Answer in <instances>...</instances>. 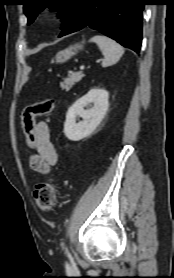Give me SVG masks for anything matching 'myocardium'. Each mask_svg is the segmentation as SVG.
<instances>
[{
	"instance_id": "myocardium-1",
	"label": "myocardium",
	"mask_w": 174,
	"mask_h": 278,
	"mask_svg": "<svg viewBox=\"0 0 174 278\" xmlns=\"http://www.w3.org/2000/svg\"><path fill=\"white\" fill-rule=\"evenodd\" d=\"M64 10L65 9L63 6H55L49 9L50 13L54 16H59L63 14Z\"/></svg>"
}]
</instances>
